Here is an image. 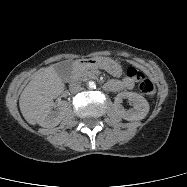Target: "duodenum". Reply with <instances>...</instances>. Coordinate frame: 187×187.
<instances>
[{"label": "duodenum", "mask_w": 187, "mask_h": 187, "mask_svg": "<svg viewBox=\"0 0 187 187\" xmlns=\"http://www.w3.org/2000/svg\"><path fill=\"white\" fill-rule=\"evenodd\" d=\"M92 62H94V60H93V59H90V58L78 59V60H76V61L74 62L73 67H74V69L76 70V69L80 68L81 66L86 65V64H89V63H92Z\"/></svg>", "instance_id": "obj_1"}]
</instances>
